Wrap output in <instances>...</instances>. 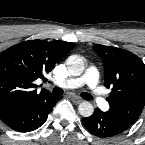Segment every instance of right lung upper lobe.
<instances>
[{
	"label": "right lung upper lobe",
	"instance_id": "right-lung-upper-lobe-1",
	"mask_svg": "<svg viewBox=\"0 0 145 145\" xmlns=\"http://www.w3.org/2000/svg\"><path fill=\"white\" fill-rule=\"evenodd\" d=\"M75 44L65 41L29 40L0 53V115L34 104L52 94L37 93L34 81L49 73Z\"/></svg>",
	"mask_w": 145,
	"mask_h": 145
}]
</instances>
